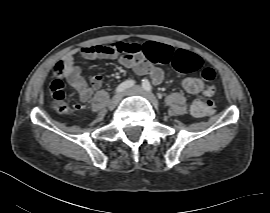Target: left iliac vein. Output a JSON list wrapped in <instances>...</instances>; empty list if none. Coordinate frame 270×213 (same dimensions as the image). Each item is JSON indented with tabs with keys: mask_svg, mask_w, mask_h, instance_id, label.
Returning a JSON list of instances; mask_svg holds the SVG:
<instances>
[{
	"mask_svg": "<svg viewBox=\"0 0 270 213\" xmlns=\"http://www.w3.org/2000/svg\"><path fill=\"white\" fill-rule=\"evenodd\" d=\"M124 95H127V96H131V95L142 96V97L146 98L152 105H154V106L158 105L157 99L151 93L146 92L140 86H134L132 88H129V89L125 90Z\"/></svg>",
	"mask_w": 270,
	"mask_h": 213,
	"instance_id": "left-iliac-vein-1",
	"label": "left iliac vein"
}]
</instances>
